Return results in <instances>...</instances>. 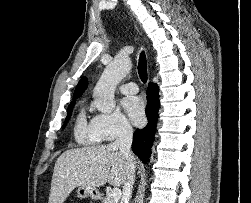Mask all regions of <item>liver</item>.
Segmentation results:
<instances>
[{"label":"liver","instance_id":"obj_1","mask_svg":"<svg viewBox=\"0 0 251 203\" xmlns=\"http://www.w3.org/2000/svg\"><path fill=\"white\" fill-rule=\"evenodd\" d=\"M126 176V160L112 144L67 150L56 160L49 203H64L80 186H121Z\"/></svg>","mask_w":251,"mask_h":203}]
</instances>
